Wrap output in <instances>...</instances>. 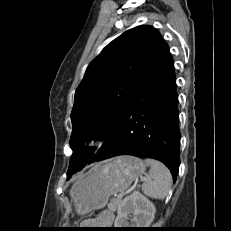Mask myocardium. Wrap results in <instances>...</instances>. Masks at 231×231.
I'll list each match as a JSON object with an SVG mask.
<instances>
[{
  "instance_id": "1",
  "label": "myocardium",
  "mask_w": 231,
  "mask_h": 231,
  "mask_svg": "<svg viewBox=\"0 0 231 231\" xmlns=\"http://www.w3.org/2000/svg\"><path fill=\"white\" fill-rule=\"evenodd\" d=\"M98 143H99L98 139H90L86 141L85 145L88 147H95L96 145H98Z\"/></svg>"
}]
</instances>
